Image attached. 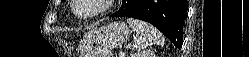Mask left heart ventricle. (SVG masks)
<instances>
[{"instance_id": "1", "label": "left heart ventricle", "mask_w": 249, "mask_h": 57, "mask_svg": "<svg viewBox=\"0 0 249 57\" xmlns=\"http://www.w3.org/2000/svg\"><path fill=\"white\" fill-rule=\"evenodd\" d=\"M98 0H82L77 7V11L80 13H91L99 7Z\"/></svg>"}]
</instances>
